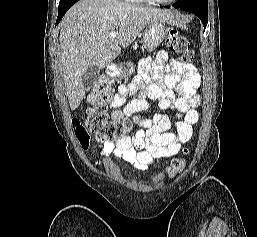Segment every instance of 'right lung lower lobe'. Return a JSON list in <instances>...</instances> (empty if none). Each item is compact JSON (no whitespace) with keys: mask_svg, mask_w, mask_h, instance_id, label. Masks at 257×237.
Masks as SVG:
<instances>
[{"mask_svg":"<svg viewBox=\"0 0 257 237\" xmlns=\"http://www.w3.org/2000/svg\"><path fill=\"white\" fill-rule=\"evenodd\" d=\"M77 1H78V0H75L74 2H72V3H70V4L59 8V13H58L56 25L61 21L62 17L65 15V13L67 12V10H68L74 3H76Z\"/></svg>","mask_w":257,"mask_h":237,"instance_id":"obj_1","label":"right lung lower lobe"}]
</instances>
